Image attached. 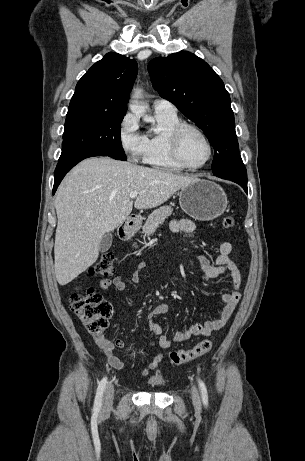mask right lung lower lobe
I'll return each instance as SVG.
<instances>
[{"mask_svg": "<svg viewBox=\"0 0 305 461\" xmlns=\"http://www.w3.org/2000/svg\"><path fill=\"white\" fill-rule=\"evenodd\" d=\"M93 156H107V155H101V154H88L85 156H78L75 157L69 161L66 162H58V165L55 169V174H54V187H53V194L55 193L58 185L64 178L67 172H69L77 163L82 161L85 158L88 157H93Z\"/></svg>", "mask_w": 305, "mask_h": 461, "instance_id": "98d812e1", "label": "right lung lower lobe"}]
</instances>
